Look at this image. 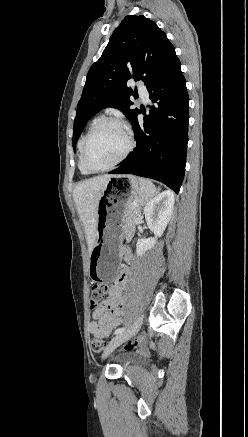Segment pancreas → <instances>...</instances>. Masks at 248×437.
Listing matches in <instances>:
<instances>
[{
    "mask_svg": "<svg viewBox=\"0 0 248 437\" xmlns=\"http://www.w3.org/2000/svg\"><path fill=\"white\" fill-rule=\"evenodd\" d=\"M139 214V207L133 206L129 203L124 212V224L126 232H133L135 230V223Z\"/></svg>",
    "mask_w": 248,
    "mask_h": 437,
    "instance_id": "obj_1",
    "label": "pancreas"
}]
</instances>
